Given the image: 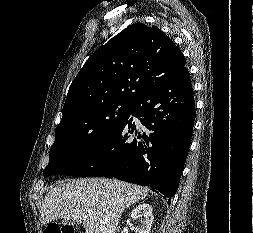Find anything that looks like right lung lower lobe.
I'll use <instances>...</instances> for the list:
<instances>
[{
  "label": "right lung lower lobe",
  "instance_id": "98d812e1",
  "mask_svg": "<svg viewBox=\"0 0 253 233\" xmlns=\"http://www.w3.org/2000/svg\"><path fill=\"white\" fill-rule=\"evenodd\" d=\"M194 109L190 75L183 67L137 97L128 118L107 142L60 173L154 187L170 204L189 151ZM130 115L140 124L132 122Z\"/></svg>",
  "mask_w": 253,
  "mask_h": 233
}]
</instances>
